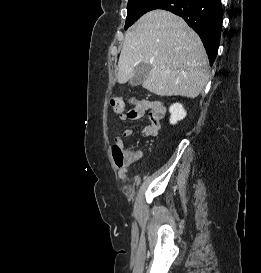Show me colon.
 <instances>
[{"mask_svg":"<svg viewBox=\"0 0 261 273\" xmlns=\"http://www.w3.org/2000/svg\"><path fill=\"white\" fill-rule=\"evenodd\" d=\"M130 100L125 97H116L112 99L111 101V106L116 113H121L123 112ZM144 112V108L140 102H136L134 106L127 111V116L130 120H137L139 119ZM112 155H113V160L114 163L116 164L117 167L122 168L127 164V157L126 153L123 150V147L121 143L116 142L112 146Z\"/></svg>","mask_w":261,"mask_h":273,"instance_id":"colon-1","label":"colon"}]
</instances>
